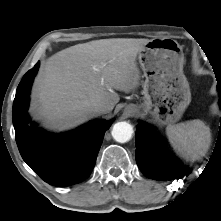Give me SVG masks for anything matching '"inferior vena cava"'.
Instances as JSON below:
<instances>
[{
  "mask_svg": "<svg viewBox=\"0 0 221 221\" xmlns=\"http://www.w3.org/2000/svg\"><path fill=\"white\" fill-rule=\"evenodd\" d=\"M107 110V106L101 103L92 104L86 108V112L90 117L99 116L103 113H106Z\"/></svg>",
  "mask_w": 221,
  "mask_h": 221,
  "instance_id": "1",
  "label": "inferior vena cava"
}]
</instances>
